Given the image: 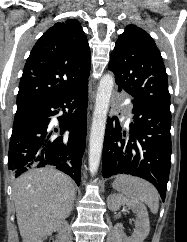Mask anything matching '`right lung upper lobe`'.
Listing matches in <instances>:
<instances>
[{"label": "right lung upper lobe", "instance_id": "1", "mask_svg": "<svg viewBox=\"0 0 187 242\" xmlns=\"http://www.w3.org/2000/svg\"><path fill=\"white\" fill-rule=\"evenodd\" d=\"M91 52L76 19L57 23L33 47L24 66L17 108L88 82Z\"/></svg>", "mask_w": 187, "mask_h": 242}]
</instances>
